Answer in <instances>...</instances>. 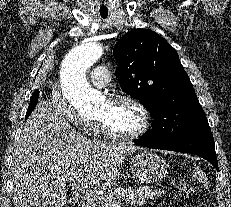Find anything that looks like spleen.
I'll list each match as a JSON object with an SVG mask.
<instances>
[{"instance_id": "3e777b00", "label": "spleen", "mask_w": 231, "mask_h": 207, "mask_svg": "<svg viewBox=\"0 0 231 207\" xmlns=\"http://www.w3.org/2000/svg\"><path fill=\"white\" fill-rule=\"evenodd\" d=\"M194 173H195V175H200V171H199L198 167L194 170Z\"/></svg>"}]
</instances>
